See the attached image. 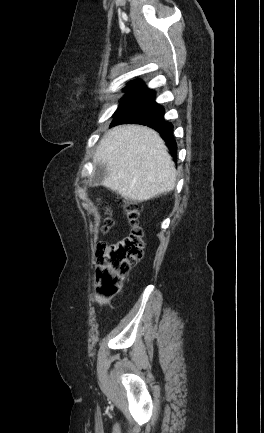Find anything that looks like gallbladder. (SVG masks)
Returning a JSON list of instances; mask_svg holds the SVG:
<instances>
[{
  "label": "gallbladder",
  "instance_id": "obj_1",
  "mask_svg": "<svg viewBox=\"0 0 264 433\" xmlns=\"http://www.w3.org/2000/svg\"><path fill=\"white\" fill-rule=\"evenodd\" d=\"M108 172L106 166L102 163L96 162L94 165L93 173L89 180L90 187H96L102 185Z\"/></svg>",
  "mask_w": 264,
  "mask_h": 433
}]
</instances>
